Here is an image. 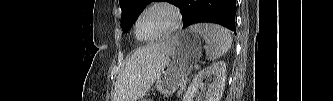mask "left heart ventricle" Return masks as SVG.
<instances>
[{
  "mask_svg": "<svg viewBox=\"0 0 333 101\" xmlns=\"http://www.w3.org/2000/svg\"><path fill=\"white\" fill-rule=\"evenodd\" d=\"M174 23L173 14L166 9H153L139 22V32L144 38H154L167 32Z\"/></svg>",
  "mask_w": 333,
  "mask_h": 101,
  "instance_id": "left-heart-ventricle-1",
  "label": "left heart ventricle"
}]
</instances>
